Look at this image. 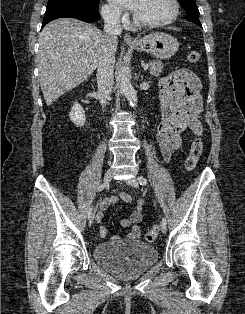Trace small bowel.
Returning a JSON list of instances; mask_svg holds the SVG:
<instances>
[{
    "mask_svg": "<svg viewBox=\"0 0 245 314\" xmlns=\"http://www.w3.org/2000/svg\"><path fill=\"white\" fill-rule=\"evenodd\" d=\"M202 88L199 77L191 70L179 69L164 77L160 83V105L162 117L157 127L156 139L159 143L161 154L164 160L169 163L173 154L182 145V133L190 129L195 135L202 134L201 108ZM121 199L132 203V198L126 193H121ZM109 200L104 201L101 210L109 205ZM145 200L139 199L136 208L131 211L130 217L121 220L123 227H130L126 238L137 240L142 235V230L138 225L143 219V206ZM102 217V212L97 214V218ZM106 229L100 227V235L104 237ZM113 242L120 240V236L111 238Z\"/></svg>",
    "mask_w": 245,
    "mask_h": 314,
    "instance_id": "1",
    "label": "small bowel"
}]
</instances>
